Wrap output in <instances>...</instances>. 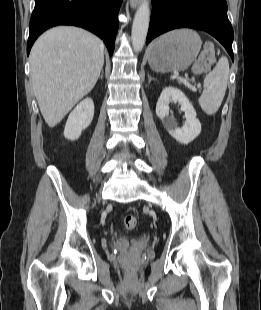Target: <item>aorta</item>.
Segmentation results:
<instances>
[{
  "label": "aorta",
  "mask_w": 261,
  "mask_h": 310,
  "mask_svg": "<svg viewBox=\"0 0 261 310\" xmlns=\"http://www.w3.org/2000/svg\"><path fill=\"white\" fill-rule=\"evenodd\" d=\"M150 21V7L148 0H142L138 7L132 25V47L135 52H140L146 41Z\"/></svg>",
  "instance_id": "1"
}]
</instances>
